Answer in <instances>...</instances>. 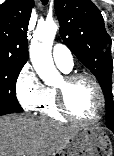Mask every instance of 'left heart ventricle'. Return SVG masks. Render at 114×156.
Wrapping results in <instances>:
<instances>
[{
	"mask_svg": "<svg viewBox=\"0 0 114 156\" xmlns=\"http://www.w3.org/2000/svg\"><path fill=\"white\" fill-rule=\"evenodd\" d=\"M63 85V81L59 86ZM67 102L70 111L82 120L93 119L99 110L98 94L93 84L85 79L74 83L68 90Z\"/></svg>",
	"mask_w": 114,
	"mask_h": 156,
	"instance_id": "1",
	"label": "left heart ventricle"
}]
</instances>
